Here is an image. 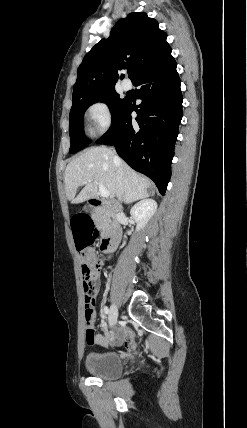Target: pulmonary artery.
<instances>
[{
  "label": "pulmonary artery",
  "mask_w": 247,
  "mask_h": 428,
  "mask_svg": "<svg viewBox=\"0 0 247 428\" xmlns=\"http://www.w3.org/2000/svg\"><path fill=\"white\" fill-rule=\"evenodd\" d=\"M122 87H123L124 90H129L131 88V83L129 81H127V80H124L122 82Z\"/></svg>",
  "instance_id": "e3ab8cb5"
}]
</instances>
